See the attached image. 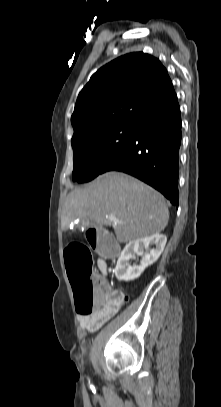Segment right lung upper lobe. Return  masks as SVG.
I'll return each instance as SVG.
<instances>
[{"label":"right lung upper lobe","mask_w":221,"mask_h":407,"mask_svg":"<svg viewBox=\"0 0 221 407\" xmlns=\"http://www.w3.org/2000/svg\"><path fill=\"white\" fill-rule=\"evenodd\" d=\"M174 93L158 59L142 52L123 55L101 67L79 93L71 143L104 128L136 124Z\"/></svg>","instance_id":"1"}]
</instances>
